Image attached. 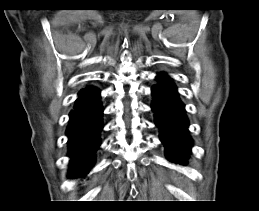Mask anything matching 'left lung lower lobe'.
<instances>
[{
    "label": "left lung lower lobe",
    "instance_id": "1",
    "mask_svg": "<svg viewBox=\"0 0 259 211\" xmlns=\"http://www.w3.org/2000/svg\"><path fill=\"white\" fill-rule=\"evenodd\" d=\"M163 76L158 74L159 83L152 87V109L156 114V125L160 128V139L166 147L168 159L184 163L192 147L188 121L176 87Z\"/></svg>",
    "mask_w": 259,
    "mask_h": 211
}]
</instances>
